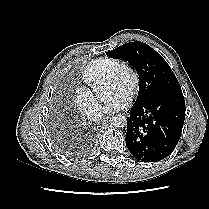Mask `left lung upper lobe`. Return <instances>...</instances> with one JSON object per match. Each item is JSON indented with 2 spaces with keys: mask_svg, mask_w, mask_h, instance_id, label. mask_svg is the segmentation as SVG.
I'll use <instances>...</instances> for the list:
<instances>
[{
  "mask_svg": "<svg viewBox=\"0 0 209 209\" xmlns=\"http://www.w3.org/2000/svg\"><path fill=\"white\" fill-rule=\"evenodd\" d=\"M106 54L128 61L136 69L140 84L135 104L144 103L162 93L181 89L164 58L143 42H129Z\"/></svg>",
  "mask_w": 209,
  "mask_h": 209,
  "instance_id": "5c2ea615",
  "label": "left lung upper lobe"
}]
</instances>
